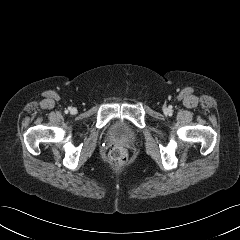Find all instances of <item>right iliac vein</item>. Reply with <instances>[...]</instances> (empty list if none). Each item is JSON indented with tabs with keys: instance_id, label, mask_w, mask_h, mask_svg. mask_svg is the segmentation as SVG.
<instances>
[{
	"instance_id": "1",
	"label": "right iliac vein",
	"mask_w": 240,
	"mask_h": 240,
	"mask_svg": "<svg viewBox=\"0 0 240 240\" xmlns=\"http://www.w3.org/2000/svg\"><path fill=\"white\" fill-rule=\"evenodd\" d=\"M77 110L75 108L71 109L72 114H76Z\"/></svg>"
}]
</instances>
